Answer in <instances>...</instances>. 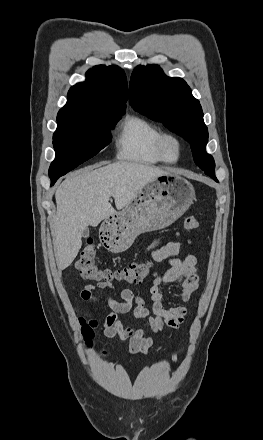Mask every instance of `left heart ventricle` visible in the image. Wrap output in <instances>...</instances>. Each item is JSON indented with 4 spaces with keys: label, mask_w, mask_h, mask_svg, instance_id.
Here are the masks:
<instances>
[{
    "label": "left heart ventricle",
    "mask_w": 263,
    "mask_h": 440,
    "mask_svg": "<svg viewBox=\"0 0 263 440\" xmlns=\"http://www.w3.org/2000/svg\"><path fill=\"white\" fill-rule=\"evenodd\" d=\"M177 152H178V149H177L176 143L174 141H172V140H167L165 142V153H166V156L169 159H175L176 156H177Z\"/></svg>",
    "instance_id": "left-heart-ventricle-1"
}]
</instances>
